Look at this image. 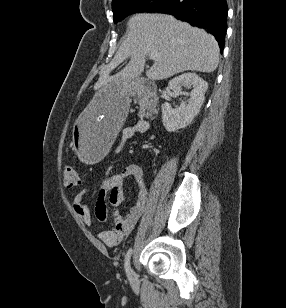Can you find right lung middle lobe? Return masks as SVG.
<instances>
[{"label":"right lung middle lobe","instance_id":"right-lung-middle-lobe-1","mask_svg":"<svg viewBox=\"0 0 286 308\" xmlns=\"http://www.w3.org/2000/svg\"><path fill=\"white\" fill-rule=\"evenodd\" d=\"M167 0H120L112 5L114 23L126 16L140 12H152Z\"/></svg>","mask_w":286,"mask_h":308}]
</instances>
